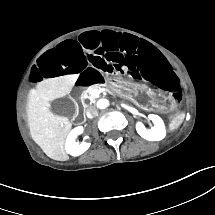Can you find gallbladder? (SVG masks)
Returning a JSON list of instances; mask_svg holds the SVG:
<instances>
[{
    "mask_svg": "<svg viewBox=\"0 0 215 215\" xmlns=\"http://www.w3.org/2000/svg\"><path fill=\"white\" fill-rule=\"evenodd\" d=\"M48 109L59 116L67 118H73L76 114V104L69 97H54L48 102Z\"/></svg>",
    "mask_w": 215,
    "mask_h": 215,
    "instance_id": "bac80fb5",
    "label": "gallbladder"
}]
</instances>
